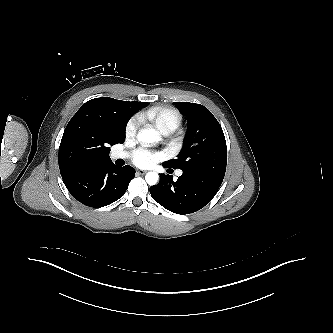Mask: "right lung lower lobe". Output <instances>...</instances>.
<instances>
[{"mask_svg":"<svg viewBox=\"0 0 333 333\" xmlns=\"http://www.w3.org/2000/svg\"><path fill=\"white\" fill-rule=\"evenodd\" d=\"M134 174V168L129 165L117 167L107 161L88 164L64 182L70 194L82 204L103 207L125 194Z\"/></svg>","mask_w":333,"mask_h":333,"instance_id":"98d812e1","label":"right lung lower lobe"}]
</instances>
